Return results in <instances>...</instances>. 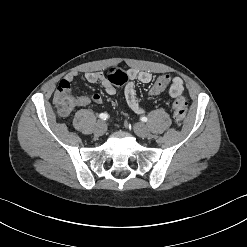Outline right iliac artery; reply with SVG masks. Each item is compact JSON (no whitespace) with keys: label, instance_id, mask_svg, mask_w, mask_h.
I'll use <instances>...</instances> for the list:
<instances>
[{"label":"right iliac artery","instance_id":"82829eb1","mask_svg":"<svg viewBox=\"0 0 247 247\" xmlns=\"http://www.w3.org/2000/svg\"><path fill=\"white\" fill-rule=\"evenodd\" d=\"M108 117H109V115L106 114V113H101V114L99 115V118L102 119V120H106Z\"/></svg>","mask_w":247,"mask_h":247}]
</instances>
